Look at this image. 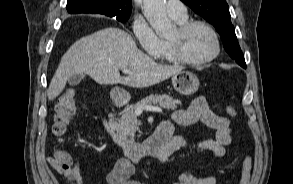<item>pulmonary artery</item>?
Listing matches in <instances>:
<instances>
[{
	"label": "pulmonary artery",
	"instance_id": "pulmonary-artery-1",
	"mask_svg": "<svg viewBox=\"0 0 293 184\" xmlns=\"http://www.w3.org/2000/svg\"><path fill=\"white\" fill-rule=\"evenodd\" d=\"M166 9L172 18L180 19L187 17L186 7L180 0H168Z\"/></svg>",
	"mask_w": 293,
	"mask_h": 184
}]
</instances>
